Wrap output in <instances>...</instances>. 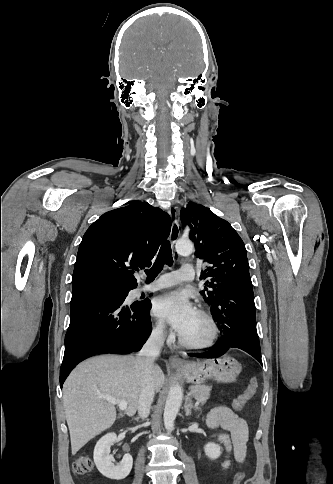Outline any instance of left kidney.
Masks as SVG:
<instances>
[{"label": "left kidney", "mask_w": 333, "mask_h": 484, "mask_svg": "<svg viewBox=\"0 0 333 484\" xmlns=\"http://www.w3.org/2000/svg\"><path fill=\"white\" fill-rule=\"evenodd\" d=\"M204 451L210 459H217L221 455V447L216 443H207Z\"/></svg>", "instance_id": "obj_1"}]
</instances>
